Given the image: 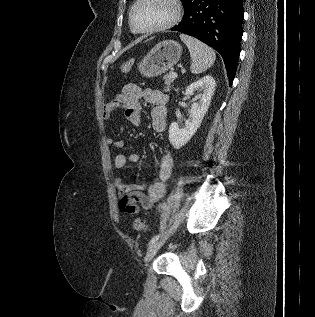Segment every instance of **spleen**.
Returning <instances> with one entry per match:
<instances>
[{"mask_svg":"<svg viewBox=\"0 0 315 317\" xmlns=\"http://www.w3.org/2000/svg\"><path fill=\"white\" fill-rule=\"evenodd\" d=\"M180 39L189 49L192 60L190 69L193 74H200L213 65L216 54L212 48L185 34H180Z\"/></svg>","mask_w":315,"mask_h":317,"instance_id":"1","label":"spleen"}]
</instances>
